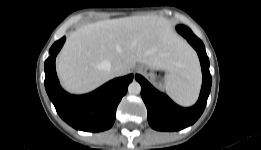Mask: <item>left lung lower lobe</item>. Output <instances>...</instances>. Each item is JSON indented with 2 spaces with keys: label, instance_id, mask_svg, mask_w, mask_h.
Returning <instances> with one entry per match:
<instances>
[{
  "label": "left lung lower lobe",
  "instance_id": "obj_1",
  "mask_svg": "<svg viewBox=\"0 0 261 150\" xmlns=\"http://www.w3.org/2000/svg\"><path fill=\"white\" fill-rule=\"evenodd\" d=\"M177 31L198 53L203 73V84L197 103L190 108H182L168 96L156 90L142 76H135L141 84V96L147 107L148 122L153 129L159 131H177L192 125L203 113L211 89L212 78L204 44L184 25H178Z\"/></svg>",
  "mask_w": 261,
  "mask_h": 150
}]
</instances>
